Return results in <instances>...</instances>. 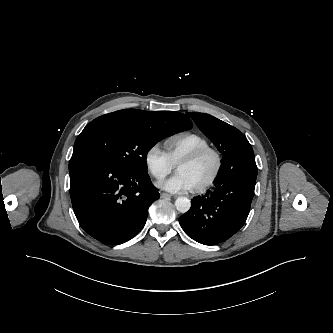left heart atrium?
Here are the masks:
<instances>
[{
    "mask_svg": "<svg viewBox=\"0 0 333 333\" xmlns=\"http://www.w3.org/2000/svg\"><path fill=\"white\" fill-rule=\"evenodd\" d=\"M158 186L171 193H184L195 189L193 182L182 173L170 177L158 183Z\"/></svg>",
    "mask_w": 333,
    "mask_h": 333,
    "instance_id": "obj_1",
    "label": "left heart atrium"
}]
</instances>
